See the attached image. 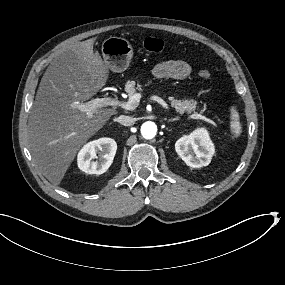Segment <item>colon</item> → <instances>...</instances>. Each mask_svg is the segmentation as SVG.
<instances>
[{
    "mask_svg": "<svg viewBox=\"0 0 285 285\" xmlns=\"http://www.w3.org/2000/svg\"><path fill=\"white\" fill-rule=\"evenodd\" d=\"M143 47L148 52L158 53L166 48V42L159 38L149 37L145 39ZM198 75L203 79H209L211 77V73L208 70H200Z\"/></svg>",
    "mask_w": 285,
    "mask_h": 285,
    "instance_id": "obj_1",
    "label": "colon"
}]
</instances>
